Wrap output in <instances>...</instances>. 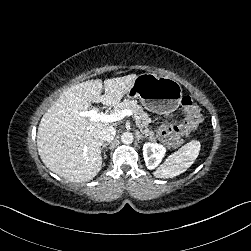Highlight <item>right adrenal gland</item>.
<instances>
[{
  "mask_svg": "<svg viewBox=\"0 0 251 251\" xmlns=\"http://www.w3.org/2000/svg\"><path fill=\"white\" fill-rule=\"evenodd\" d=\"M107 147H108V143L102 144V149L105 148L107 150ZM104 159H106V156H104Z\"/></svg>",
  "mask_w": 251,
  "mask_h": 251,
  "instance_id": "obj_1",
  "label": "right adrenal gland"
}]
</instances>
